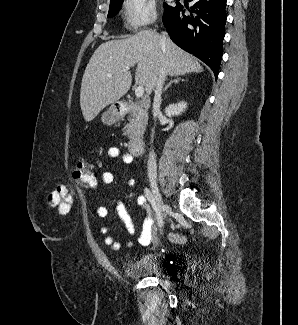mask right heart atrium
<instances>
[{"instance_id":"obj_1","label":"right heart atrium","mask_w":298,"mask_h":325,"mask_svg":"<svg viewBox=\"0 0 298 325\" xmlns=\"http://www.w3.org/2000/svg\"><path fill=\"white\" fill-rule=\"evenodd\" d=\"M125 20L131 31L150 23L155 17V4L151 0H128L124 5Z\"/></svg>"}]
</instances>
